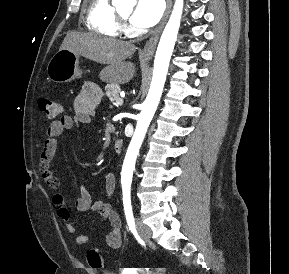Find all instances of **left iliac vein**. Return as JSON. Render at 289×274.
<instances>
[{"instance_id":"4c4485c4","label":"left iliac vein","mask_w":289,"mask_h":274,"mask_svg":"<svg viewBox=\"0 0 289 274\" xmlns=\"http://www.w3.org/2000/svg\"><path fill=\"white\" fill-rule=\"evenodd\" d=\"M136 229L143 240L145 241L150 240L151 238L150 228L147 225L143 224L138 218L136 219Z\"/></svg>"}]
</instances>
